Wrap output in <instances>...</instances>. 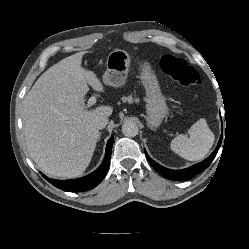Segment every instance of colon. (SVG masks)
Listing matches in <instances>:
<instances>
[{"label":"colon","instance_id":"colon-1","mask_svg":"<svg viewBox=\"0 0 249 249\" xmlns=\"http://www.w3.org/2000/svg\"><path fill=\"white\" fill-rule=\"evenodd\" d=\"M160 67L167 76L182 86L200 84V74L180 57L164 55L160 60Z\"/></svg>","mask_w":249,"mask_h":249}]
</instances>
